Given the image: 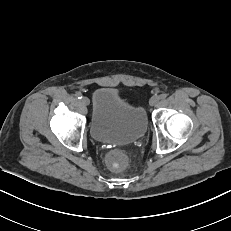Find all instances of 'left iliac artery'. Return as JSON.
<instances>
[{
	"label": "left iliac artery",
	"instance_id": "44dca946",
	"mask_svg": "<svg viewBox=\"0 0 231 231\" xmlns=\"http://www.w3.org/2000/svg\"><path fill=\"white\" fill-rule=\"evenodd\" d=\"M166 97H167V95H166V94H164V93H163V94H161V95L159 96V98H160V99H165Z\"/></svg>",
	"mask_w": 231,
	"mask_h": 231
}]
</instances>
